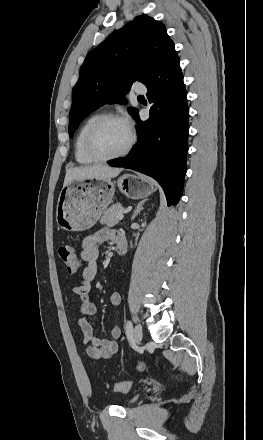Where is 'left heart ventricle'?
Here are the masks:
<instances>
[{
    "instance_id": "1",
    "label": "left heart ventricle",
    "mask_w": 263,
    "mask_h": 440,
    "mask_svg": "<svg viewBox=\"0 0 263 440\" xmlns=\"http://www.w3.org/2000/svg\"><path fill=\"white\" fill-rule=\"evenodd\" d=\"M128 141L126 126L118 121L103 125L97 133L96 148L105 155L120 151Z\"/></svg>"
}]
</instances>
